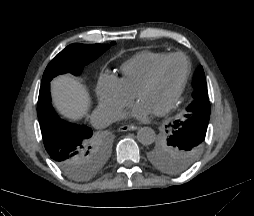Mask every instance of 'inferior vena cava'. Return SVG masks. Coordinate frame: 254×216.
Listing matches in <instances>:
<instances>
[{
	"label": "inferior vena cava",
	"mask_w": 254,
	"mask_h": 216,
	"mask_svg": "<svg viewBox=\"0 0 254 216\" xmlns=\"http://www.w3.org/2000/svg\"><path fill=\"white\" fill-rule=\"evenodd\" d=\"M122 114L114 107L99 105L91 114L90 122L97 129L105 128L121 120Z\"/></svg>",
	"instance_id": "obj_1"
}]
</instances>
